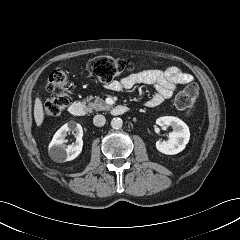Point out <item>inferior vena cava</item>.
Masks as SVG:
<instances>
[{
	"instance_id": "602c4592",
	"label": "inferior vena cava",
	"mask_w": 240,
	"mask_h": 240,
	"mask_svg": "<svg viewBox=\"0 0 240 240\" xmlns=\"http://www.w3.org/2000/svg\"><path fill=\"white\" fill-rule=\"evenodd\" d=\"M105 122H106V119L101 114L95 115L93 118V123L95 126L101 127L105 124Z\"/></svg>"
}]
</instances>
